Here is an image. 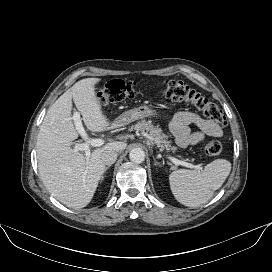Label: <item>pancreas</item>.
<instances>
[{"mask_svg": "<svg viewBox=\"0 0 272 272\" xmlns=\"http://www.w3.org/2000/svg\"><path fill=\"white\" fill-rule=\"evenodd\" d=\"M131 129L148 133L149 141L155 144L160 150L174 151L175 147L166 140V135L162 133L161 128L154 126L151 121L141 120L131 127Z\"/></svg>", "mask_w": 272, "mask_h": 272, "instance_id": "pancreas-1", "label": "pancreas"}]
</instances>
